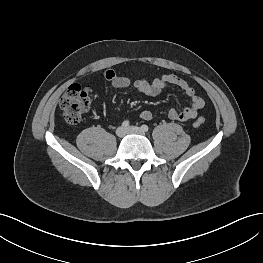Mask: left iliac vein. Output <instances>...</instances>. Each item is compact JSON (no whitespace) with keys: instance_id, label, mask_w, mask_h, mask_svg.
<instances>
[{"instance_id":"left-iliac-vein-1","label":"left iliac vein","mask_w":263,"mask_h":263,"mask_svg":"<svg viewBox=\"0 0 263 263\" xmlns=\"http://www.w3.org/2000/svg\"><path fill=\"white\" fill-rule=\"evenodd\" d=\"M128 133H134V134H139V135H144V131H142L141 128L136 127V126H131L127 129Z\"/></svg>"}]
</instances>
